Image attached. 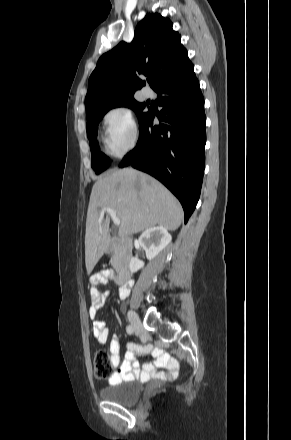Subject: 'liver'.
I'll return each instance as SVG.
<instances>
[{
    "label": "liver",
    "mask_w": 291,
    "mask_h": 440,
    "mask_svg": "<svg viewBox=\"0 0 291 440\" xmlns=\"http://www.w3.org/2000/svg\"><path fill=\"white\" fill-rule=\"evenodd\" d=\"M110 207L120 219L124 238L156 225L178 229L183 209L176 197L153 177L126 168L107 174L93 185L86 219L85 262L90 274L108 247L109 218L102 222L98 208Z\"/></svg>",
    "instance_id": "liver-1"
}]
</instances>
